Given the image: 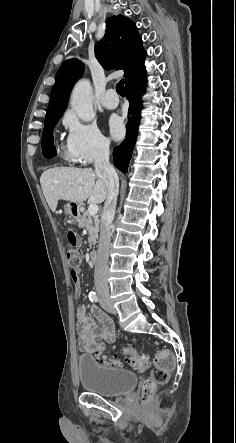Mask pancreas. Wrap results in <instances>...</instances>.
Returning a JSON list of instances; mask_svg holds the SVG:
<instances>
[{
  "mask_svg": "<svg viewBox=\"0 0 236 443\" xmlns=\"http://www.w3.org/2000/svg\"><path fill=\"white\" fill-rule=\"evenodd\" d=\"M99 224L98 216H91L88 211L84 212L80 217L79 226L86 228L89 232L88 243L90 248L97 243Z\"/></svg>",
  "mask_w": 236,
  "mask_h": 443,
  "instance_id": "pancreas-1",
  "label": "pancreas"
}]
</instances>
